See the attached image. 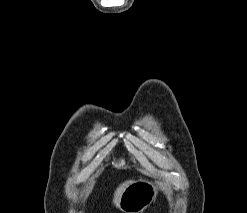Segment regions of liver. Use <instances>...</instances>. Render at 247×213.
<instances>
[{
    "label": "liver",
    "instance_id": "liver-1",
    "mask_svg": "<svg viewBox=\"0 0 247 213\" xmlns=\"http://www.w3.org/2000/svg\"><path fill=\"white\" fill-rule=\"evenodd\" d=\"M132 180H128L125 181L124 183H122L115 191L114 193V198H113V203L118 207V203L120 200V197L122 195V193L124 192V190L132 183Z\"/></svg>",
    "mask_w": 247,
    "mask_h": 213
}]
</instances>
